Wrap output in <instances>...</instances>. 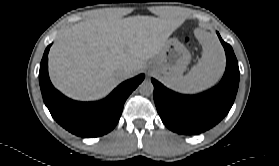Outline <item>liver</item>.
I'll return each instance as SVG.
<instances>
[{
  "mask_svg": "<svg viewBox=\"0 0 279 166\" xmlns=\"http://www.w3.org/2000/svg\"><path fill=\"white\" fill-rule=\"evenodd\" d=\"M182 20L169 12L165 18L113 15L97 16L63 31L49 53V75L54 86L70 98L98 100L123 78L146 67Z\"/></svg>",
  "mask_w": 279,
  "mask_h": 166,
  "instance_id": "obj_1",
  "label": "liver"
}]
</instances>
